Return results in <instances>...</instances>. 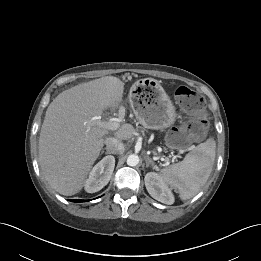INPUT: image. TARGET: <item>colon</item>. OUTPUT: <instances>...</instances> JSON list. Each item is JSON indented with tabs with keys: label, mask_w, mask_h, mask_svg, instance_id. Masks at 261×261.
<instances>
[{
	"label": "colon",
	"mask_w": 261,
	"mask_h": 261,
	"mask_svg": "<svg viewBox=\"0 0 261 261\" xmlns=\"http://www.w3.org/2000/svg\"><path fill=\"white\" fill-rule=\"evenodd\" d=\"M174 96L177 104L190 118L183 126L174 129L168 135V143L178 147L191 140L202 139L208 128L204 98L186 86L178 87Z\"/></svg>",
	"instance_id": "obj_1"
}]
</instances>
